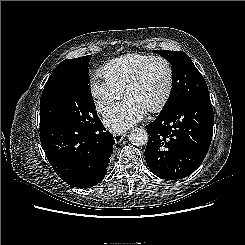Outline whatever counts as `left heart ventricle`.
I'll list each match as a JSON object with an SVG mask.
<instances>
[{
  "mask_svg": "<svg viewBox=\"0 0 245 245\" xmlns=\"http://www.w3.org/2000/svg\"><path fill=\"white\" fill-rule=\"evenodd\" d=\"M167 70L160 61H152L140 81L126 94L142 104L147 110L163 97L167 86Z\"/></svg>",
  "mask_w": 245,
  "mask_h": 245,
  "instance_id": "left-heart-ventricle-1",
  "label": "left heart ventricle"
}]
</instances>
